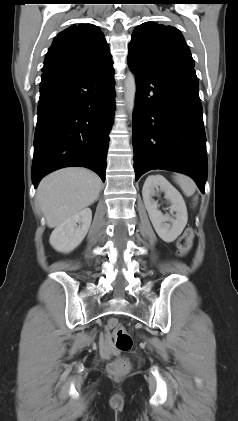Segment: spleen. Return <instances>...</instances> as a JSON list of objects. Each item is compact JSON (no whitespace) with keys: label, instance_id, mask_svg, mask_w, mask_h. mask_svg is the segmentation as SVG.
<instances>
[{"label":"spleen","instance_id":"3e777b00","mask_svg":"<svg viewBox=\"0 0 238 421\" xmlns=\"http://www.w3.org/2000/svg\"><path fill=\"white\" fill-rule=\"evenodd\" d=\"M175 181L180 186L186 196H192L196 190L195 182L188 176L177 174Z\"/></svg>","mask_w":238,"mask_h":421}]
</instances>
